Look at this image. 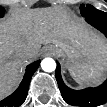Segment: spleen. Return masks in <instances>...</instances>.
<instances>
[{"mask_svg":"<svg viewBox=\"0 0 107 107\" xmlns=\"http://www.w3.org/2000/svg\"><path fill=\"white\" fill-rule=\"evenodd\" d=\"M107 66V51L93 61H85L77 65L69 66V72L73 79L82 84L84 82L99 81L106 70Z\"/></svg>","mask_w":107,"mask_h":107,"instance_id":"3e777b00","label":"spleen"}]
</instances>
